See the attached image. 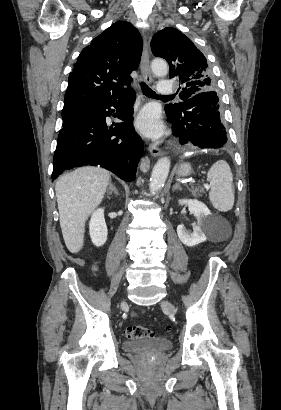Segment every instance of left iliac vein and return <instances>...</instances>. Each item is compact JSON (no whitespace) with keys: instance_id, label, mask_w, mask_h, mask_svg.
I'll return each instance as SVG.
<instances>
[{"instance_id":"left-iliac-vein-1","label":"left iliac vein","mask_w":281,"mask_h":410,"mask_svg":"<svg viewBox=\"0 0 281 410\" xmlns=\"http://www.w3.org/2000/svg\"><path fill=\"white\" fill-rule=\"evenodd\" d=\"M161 305H162L163 308L167 309L169 312H171L173 314L176 312L174 305L172 303H170L169 301L165 300L161 303Z\"/></svg>"}]
</instances>
